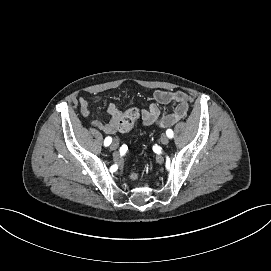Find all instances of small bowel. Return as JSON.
Here are the masks:
<instances>
[{
    "mask_svg": "<svg viewBox=\"0 0 271 271\" xmlns=\"http://www.w3.org/2000/svg\"><path fill=\"white\" fill-rule=\"evenodd\" d=\"M154 103L140 112V119L145 126L158 124L161 127H169L183 119L189 110V96L183 91H168L159 89L153 94ZM171 104L172 109L162 111L160 105ZM81 113L90 116V104L88 100L81 97L79 99ZM110 120L104 123L99 120H93L92 125L106 134H113L118 128V122L122 116L121 109L114 103L107 107Z\"/></svg>",
    "mask_w": 271,
    "mask_h": 271,
    "instance_id": "obj_1",
    "label": "small bowel"
}]
</instances>
